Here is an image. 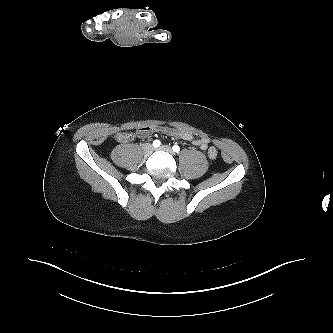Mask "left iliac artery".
Returning a JSON list of instances; mask_svg holds the SVG:
<instances>
[{
    "label": "left iliac artery",
    "mask_w": 333,
    "mask_h": 333,
    "mask_svg": "<svg viewBox=\"0 0 333 333\" xmlns=\"http://www.w3.org/2000/svg\"><path fill=\"white\" fill-rule=\"evenodd\" d=\"M173 151L178 153L180 151V147L178 145L173 146Z\"/></svg>",
    "instance_id": "left-iliac-artery-1"
}]
</instances>
